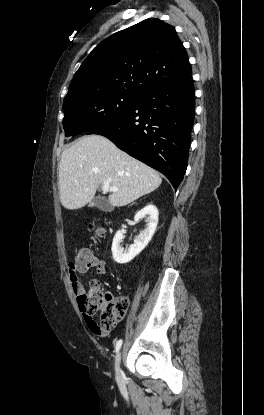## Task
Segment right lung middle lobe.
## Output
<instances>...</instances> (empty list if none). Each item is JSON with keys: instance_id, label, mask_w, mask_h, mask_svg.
Returning <instances> with one entry per match:
<instances>
[{"instance_id": "dd1d6c3e", "label": "right lung middle lobe", "mask_w": 264, "mask_h": 415, "mask_svg": "<svg viewBox=\"0 0 264 415\" xmlns=\"http://www.w3.org/2000/svg\"><path fill=\"white\" fill-rule=\"evenodd\" d=\"M139 97L127 92H107L64 100L65 135L75 136L119 117L132 109Z\"/></svg>"}]
</instances>
